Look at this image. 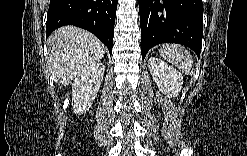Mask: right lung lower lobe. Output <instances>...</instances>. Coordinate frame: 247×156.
Returning a JSON list of instances; mask_svg holds the SVG:
<instances>
[{
	"label": "right lung lower lobe",
	"instance_id": "right-lung-lower-lobe-1",
	"mask_svg": "<svg viewBox=\"0 0 247 156\" xmlns=\"http://www.w3.org/2000/svg\"><path fill=\"white\" fill-rule=\"evenodd\" d=\"M118 0H50L46 37L55 29L74 25L98 37L112 54Z\"/></svg>",
	"mask_w": 247,
	"mask_h": 156
}]
</instances>
